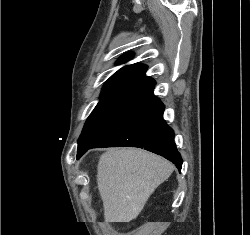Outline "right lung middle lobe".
<instances>
[{"label": "right lung middle lobe", "instance_id": "right-lung-middle-lobe-1", "mask_svg": "<svg viewBox=\"0 0 250 235\" xmlns=\"http://www.w3.org/2000/svg\"><path fill=\"white\" fill-rule=\"evenodd\" d=\"M128 99V97H101L100 102L88 117L78 142L84 139L96 126Z\"/></svg>", "mask_w": 250, "mask_h": 235}]
</instances>
